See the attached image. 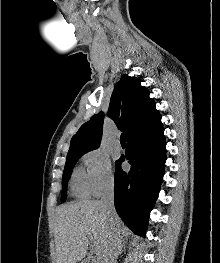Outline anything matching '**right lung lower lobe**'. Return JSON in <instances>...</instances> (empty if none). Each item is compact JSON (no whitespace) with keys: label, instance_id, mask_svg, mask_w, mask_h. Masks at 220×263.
<instances>
[{"label":"right lung lower lobe","instance_id":"right-lung-lower-lobe-1","mask_svg":"<svg viewBox=\"0 0 220 263\" xmlns=\"http://www.w3.org/2000/svg\"><path fill=\"white\" fill-rule=\"evenodd\" d=\"M164 129L136 135L127 140L126 156L116 162L114 204L124 223L145 236L148 216L158 196L166 161ZM127 160L129 172L121 168Z\"/></svg>","mask_w":220,"mask_h":263}]
</instances>
